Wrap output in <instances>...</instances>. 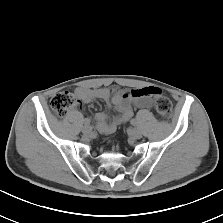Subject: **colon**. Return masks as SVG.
<instances>
[{
    "mask_svg": "<svg viewBox=\"0 0 223 223\" xmlns=\"http://www.w3.org/2000/svg\"><path fill=\"white\" fill-rule=\"evenodd\" d=\"M156 95L155 98V110L158 116L163 120H169L172 117V106L170 100L158 93V91H153ZM78 103L76 97L70 92H59L55 94L51 101V109L58 115L64 116L67 111L75 107Z\"/></svg>",
    "mask_w": 223,
    "mask_h": 223,
    "instance_id": "5ec220e1",
    "label": "colon"
}]
</instances>
